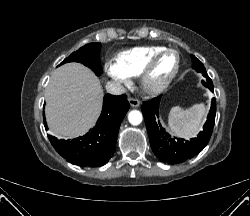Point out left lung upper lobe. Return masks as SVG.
Masks as SVG:
<instances>
[{"instance_id":"obj_1","label":"left lung upper lobe","mask_w":250,"mask_h":216,"mask_svg":"<svg viewBox=\"0 0 250 216\" xmlns=\"http://www.w3.org/2000/svg\"><path fill=\"white\" fill-rule=\"evenodd\" d=\"M192 58V67L193 69H195L197 72H200L203 74L204 77H206L205 75H207L205 67L203 66V64L195 57V56H191ZM209 81V80H207ZM211 81V79H210Z\"/></svg>"}]
</instances>
